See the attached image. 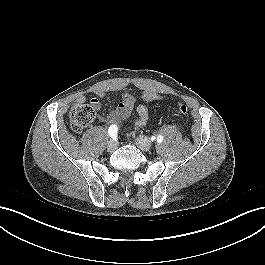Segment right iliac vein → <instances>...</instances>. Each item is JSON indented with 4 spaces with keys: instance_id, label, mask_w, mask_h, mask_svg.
I'll return each instance as SVG.
<instances>
[{
    "instance_id": "63e3f726",
    "label": "right iliac vein",
    "mask_w": 265,
    "mask_h": 265,
    "mask_svg": "<svg viewBox=\"0 0 265 265\" xmlns=\"http://www.w3.org/2000/svg\"><path fill=\"white\" fill-rule=\"evenodd\" d=\"M117 147H118V142L116 140H110L107 144V150L109 152L115 151Z\"/></svg>"
}]
</instances>
